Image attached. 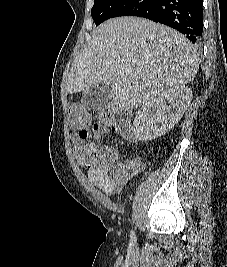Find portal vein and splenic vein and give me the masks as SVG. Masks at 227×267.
Listing matches in <instances>:
<instances>
[{"instance_id": "portal-vein-and-splenic-vein-1", "label": "portal vein and splenic vein", "mask_w": 227, "mask_h": 267, "mask_svg": "<svg viewBox=\"0 0 227 267\" xmlns=\"http://www.w3.org/2000/svg\"><path fill=\"white\" fill-rule=\"evenodd\" d=\"M126 74L127 75H131L132 74V71H127Z\"/></svg>"}]
</instances>
